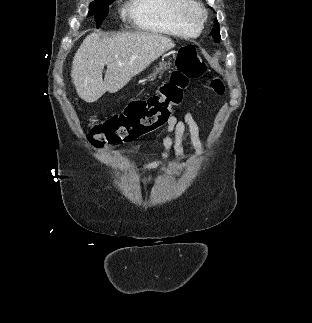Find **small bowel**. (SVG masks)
Returning a JSON list of instances; mask_svg holds the SVG:
<instances>
[{"mask_svg":"<svg viewBox=\"0 0 312 323\" xmlns=\"http://www.w3.org/2000/svg\"><path fill=\"white\" fill-rule=\"evenodd\" d=\"M168 135L162 140L164 150L158 159L140 164L138 169L142 170H156L163 166L171 157L172 151L176 159L185 163L187 161V154L183 146V140L186 133H188L189 141L194 153L197 156H202L204 153V142L201 135V129L196 122L192 112H187L183 118H178L172 115L166 126ZM138 145L124 150H113L111 153H132L138 149Z\"/></svg>","mask_w":312,"mask_h":323,"instance_id":"obj_1","label":"small bowel"}]
</instances>
